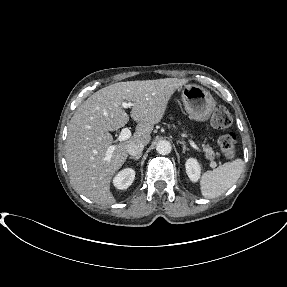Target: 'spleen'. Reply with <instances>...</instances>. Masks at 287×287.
<instances>
[{
	"instance_id": "obj_1",
	"label": "spleen",
	"mask_w": 287,
	"mask_h": 287,
	"mask_svg": "<svg viewBox=\"0 0 287 287\" xmlns=\"http://www.w3.org/2000/svg\"><path fill=\"white\" fill-rule=\"evenodd\" d=\"M242 171L243 161L236 159L203 173L200 181L202 195L208 199L222 195L237 182Z\"/></svg>"
}]
</instances>
